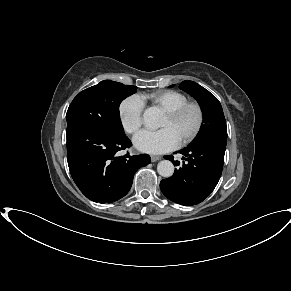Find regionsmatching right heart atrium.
I'll return each mask as SVG.
<instances>
[{"instance_id":"obj_1","label":"right heart atrium","mask_w":291,"mask_h":291,"mask_svg":"<svg viewBox=\"0 0 291 291\" xmlns=\"http://www.w3.org/2000/svg\"><path fill=\"white\" fill-rule=\"evenodd\" d=\"M143 108V101L137 95H130L119 104V121L128 134H135L141 128Z\"/></svg>"}]
</instances>
